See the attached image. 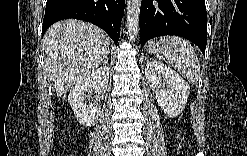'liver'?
<instances>
[{
	"instance_id": "1",
	"label": "liver",
	"mask_w": 247,
	"mask_h": 156,
	"mask_svg": "<svg viewBox=\"0 0 247 156\" xmlns=\"http://www.w3.org/2000/svg\"><path fill=\"white\" fill-rule=\"evenodd\" d=\"M109 46L108 35L92 24L74 19L53 24L43 37L44 71L57 97L94 71Z\"/></svg>"
}]
</instances>
